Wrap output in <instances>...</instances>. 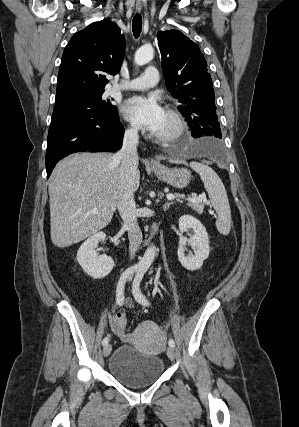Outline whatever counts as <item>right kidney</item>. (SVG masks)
<instances>
[{
  "instance_id": "ca27d5eb",
  "label": "right kidney",
  "mask_w": 299,
  "mask_h": 427,
  "mask_svg": "<svg viewBox=\"0 0 299 427\" xmlns=\"http://www.w3.org/2000/svg\"><path fill=\"white\" fill-rule=\"evenodd\" d=\"M106 239L104 232H99L88 238L77 252V261L89 276L100 279L108 275L114 267V261L106 255L98 256L95 248L100 241Z\"/></svg>"
}]
</instances>
